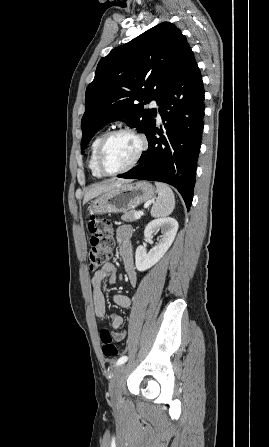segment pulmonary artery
<instances>
[{
    "label": "pulmonary artery",
    "instance_id": "obj_1",
    "mask_svg": "<svg viewBox=\"0 0 269 447\" xmlns=\"http://www.w3.org/2000/svg\"><path fill=\"white\" fill-rule=\"evenodd\" d=\"M150 107L156 109V118H157L158 121H160L161 116H160V113H159V106L157 105L156 101H152L150 103Z\"/></svg>",
    "mask_w": 269,
    "mask_h": 447
}]
</instances>
